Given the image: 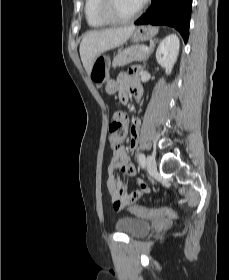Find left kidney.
<instances>
[{"label": "left kidney", "instance_id": "obj_1", "mask_svg": "<svg viewBox=\"0 0 229 280\" xmlns=\"http://www.w3.org/2000/svg\"><path fill=\"white\" fill-rule=\"evenodd\" d=\"M180 48V41L175 34L165 37L156 51V60L161 65L166 74H170L177 60Z\"/></svg>", "mask_w": 229, "mask_h": 280}]
</instances>
